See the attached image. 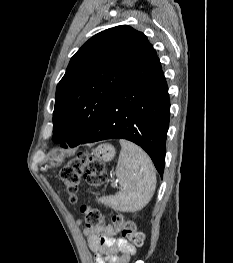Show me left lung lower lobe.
<instances>
[{
  "instance_id": "left-lung-lower-lobe-1",
  "label": "left lung lower lobe",
  "mask_w": 233,
  "mask_h": 263,
  "mask_svg": "<svg viewBox=\"0 0 233 263\" xmlns=\"http://www.w3.org/2000/svg\"><path fill=\"white\" fill-rule=\"evenodd\" d=\"M170 99L159 58L151 45L124 81L99 120L81 142L55 139L67 148L105 139L122 138L141 146L162 176Z\"/></svg>"
}]
</instances>
